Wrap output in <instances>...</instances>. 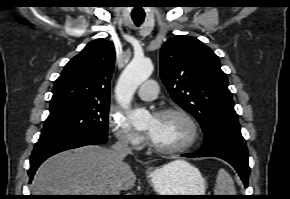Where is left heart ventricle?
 <instances>
[{
	"label": "left heart ventricle",
	"mask_w": 290,
	"mask_h": 199,
	"mask_svg": "<svg viewBox=\"0 0 290 199\" xmlns=\"http://www.w3.org/2000/svg\"><path fill=\"white\" fill-rule=\"evenodd\" d=\"M145 129L152 132L150 140L162 148H176L188 142L191 129L188 123L177 115L151 118Z\"/></svg>",
	"instance_id": "b2bd125f"
}]
</instances>
